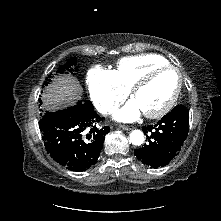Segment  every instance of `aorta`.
Listing matches in <instances>:
<instances>
[{"instance_id":"obj_1","label":"aorta","mask_w":221,"mask_h":221,"mask_svg":"<svg viewBox=\"0 0 221 221\" xmlns=\"http://www.w3.org/2000/svg\"><path fill=\"white\" fill-rule=\"evenodd\" d=\"M130 141L135 146H140L144 142L143 132L140 130H133L130 133Z\"/></svg>"}]
</instances>
